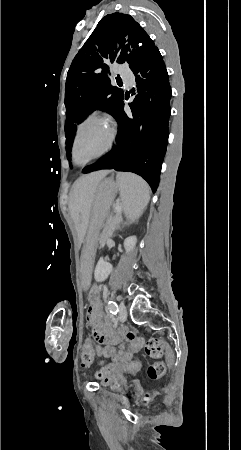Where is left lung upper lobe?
<instances>
[{"instance_id": "1", "label": "left lung upper lobe", "mask_w": 241, "mask_h": 450, "mask_svg": "<svg viewBox=\"0 0 241 450\" xmlns=\"http://www.w3.org/2000/svg\"><path fill=\"white\" fill-rule=\"evenodd\" d=\"M153 46L154 42L130 15L116 12L99 21L67 73L65 135L69 160L76 123L96 109L115 117L123 102L124 92L111 84L108 64L126 62L130 67Z\"/></svg>"}]
</instances>
